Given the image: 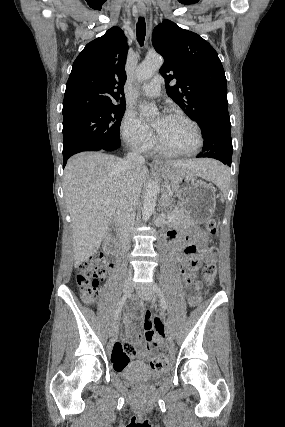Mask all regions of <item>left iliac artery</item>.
Here are the masks:
<instances>
[{"instance_id":"obj_1","label":"left iliac artery","mask_w":285,"mask_h":427,"mask_svg":"<svg viewBox=\"0 0 285 427\" xmlns=\"http://www.w3.org/2000/svg\"><path fill=\"white\" fill-rule=\"evenodd\" d=\"M153 291L159 296V298H160V305H161V307H162V309L163 310H166L167 309V304H166V301H165V299H164V297H163V293H162V291H161V289L158 287V286H156V285H153Z\"/></svg>"}]
</instances>
